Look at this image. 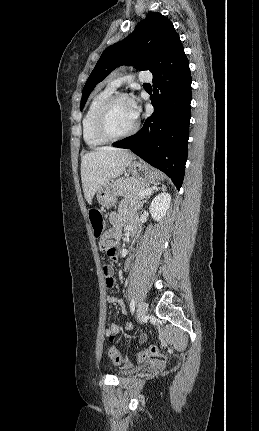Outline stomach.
Returning a JSON list of instances; mask_svg holds the SVG:
<instances>
[{
	"label": "stomach",
	"instance_id": "1",
	"mask_svg": "<svg viewBox=\"0 0 259 431\" xmlns=\"http://www.w3.org/2000/svg\"><path fill=\"white\" fill-rule=\"evenodd\" d=\"M127 168L133 178L139 179L147 185L156 184L160 180L158 171L141 161L132 160ZM97 200L102 206L107 208L115 204L116 196L111 183L107 182L98 189Z\"/></svg>",
	"mask_w": 259,
	"mask_h": 431
}]
</instances>
